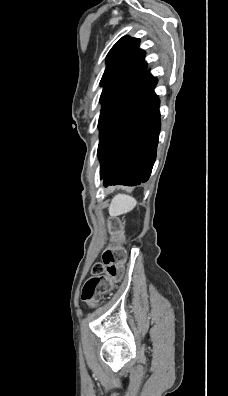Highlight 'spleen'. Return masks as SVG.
<instances>
[{
    "instance_id": "1",
    "label": "spleen",
    "mask_w": 228,
    "mask_h": 396,
    "mask_svg": "<svg viewBox=\"0 0 228 396\" xmlns=\"http://www.w3.org/2000/svg\"><path fill=\"white\" fill-rule=\"evenodd\" d=\"M137 204V201L127 194H117L111 200L109 206V214L111 216H118L131 211Z\"/></svg>"
}]
</instances>
